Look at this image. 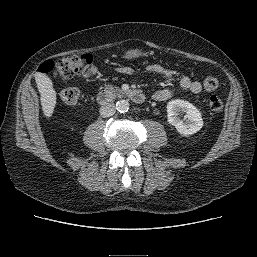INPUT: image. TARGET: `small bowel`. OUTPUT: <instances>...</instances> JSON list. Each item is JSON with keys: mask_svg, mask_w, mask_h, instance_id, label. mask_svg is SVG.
I'll list each match as a JSON object with an SVG mask.
<instances>
[{"mask_svg": "<svg viewBox=\"0 0 257 257\" xmlns=\"http://www.w3.org/2000/svg\"><path fill=\"white\" fill-rule=\"evenodd\" d=\"M147 70L153 73H157L166 78H177L179 86L185 90L192 93H199L202 90V84L198 81L192 80L187 75L181 74L179 71L166 67L160 64H150L147 67ZM119 72L124 74H129L133 71L131 67L123 66L118 69ZM172 92L170 89L164 88L156 91L153 94V99L156 101H166L170 99Z\"/></svg>", "mask_w": 257, "mask_h": 257, "instance_id": "1", "label": "small bowel"}]
</instances>
